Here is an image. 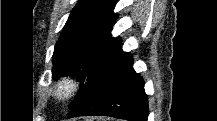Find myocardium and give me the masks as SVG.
<instances>
[{
  "label": "myocardium",
  "mask_w": 217,
  "mask_h": 121,
  "mask_svg": "<svg viewBox=\"0 0 217 121\" xmlns=\"http://www.w3.org/2000/svg\"><path fill=\"white\" fill-rule=\"evenodd\" d=\"M80 82L75 77H64L59 80L53 90V98L63 103L71 99L78 91Z\"/></svg>",
  "instance_id": "myocardium-1"
}]
</instances>
